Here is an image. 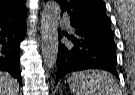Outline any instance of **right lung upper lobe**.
<instances>
[{"label": "right lung upper lobe", "mask_w": 135, "mask_h": 95, "mask_svg": "<svg viewBox=\"0 0 135 95\" xmlns=\"http://www.w3.org/2000/svg\"><path fill=\"white\" fill-rule=\"evenodd\" d=\"M26 15L25 0H0V20H19Z\"/></svg>", "instance_id": "right-lung-upper-lobe-1"}]
</instances>
